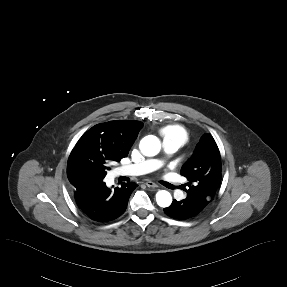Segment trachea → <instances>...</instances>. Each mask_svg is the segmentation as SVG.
Here are the masks:
<instances>
[{
	"label": "trachea",
	"mask_w": 287,
	"mask_h": 287,
	"mask_svg": "<svg viewBox=\"0 0 287 287\" xmlns=\"http://www.w3.org/2000/svg\"><path fill=\"white\" fill-rule=\"evenodd\" d=\"M166 186H167L168 188H172V186H171L170 184H168V183H167V185H166Z\"/></svg>",
	"instance_id": "obj_1"
}]
</instances>
